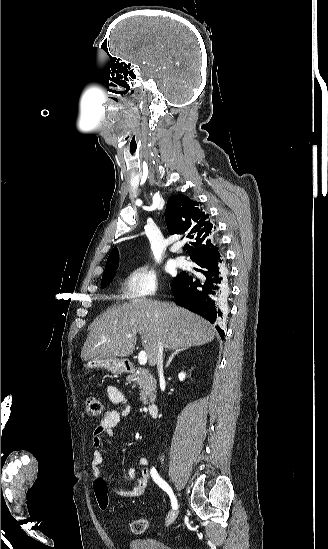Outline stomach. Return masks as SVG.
<instances>
[{
	"mask_svg": "<svg viewBox=\"0 0 328 549\" xmlns=\"http://www.w3.org/2000/svg\"><path fill=\"white\" fill-rule=\"evenodd\" d=\"M130 361L128 359H90L84 363L85 369H106L112 375H121V373H130Z\"/></svg>",
	"mask_w": 328,
	"mask_h": 549,
	"instance_id": "1",
	"label": "stomach"
}]
</instances>
